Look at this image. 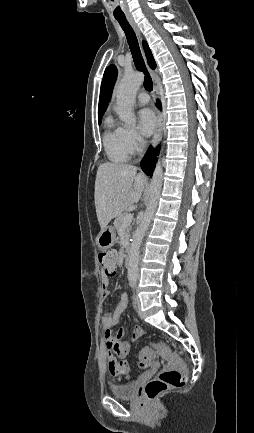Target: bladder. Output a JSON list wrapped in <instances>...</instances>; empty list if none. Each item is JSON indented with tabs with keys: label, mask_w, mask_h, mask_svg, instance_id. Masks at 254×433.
<instances>
[{
	"label": "bladder",
	"mask_w": 254,
	"mask_h": 433,
	"mask_svg": "<svg viewBox=\"0 0 254 433\" xmlns=\"http://www.w3.org/2000/svg\"><path fill=\"white\" fill-rule=\"evenodd\" d=\"M138 385L136 381L122 384H112L110 392L113 396L123 399H135L137 397Z\"/></svg>",
	"instance_id": "1"
}]
</instances>
